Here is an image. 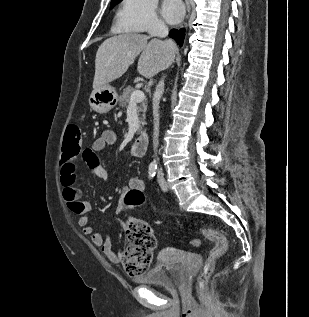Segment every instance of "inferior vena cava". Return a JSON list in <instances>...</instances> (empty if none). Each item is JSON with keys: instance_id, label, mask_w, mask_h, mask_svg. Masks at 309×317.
Here are the masks:
<instances>
[{"instance_id": "inferior-vena-cava-1", "label": "inferior vena cava", "mask_w": 309, "mask_h": 317, "mask_svg": "<svg viewBox=\"0 0 309 317\" xmlns=\"http://www.w3.org/2000/svg\"><path fill=\"white\" fill-rule=\"evenodd\" d=\"M151 36L156 37H166L168 35V28L161 21H156L151 30ZM164 92V81L160 80L156 86L154 95H153V117H154V129H153V148L155 155L157 156V148H158V137H159V101Z\"/></svg>"}]
</instances>
